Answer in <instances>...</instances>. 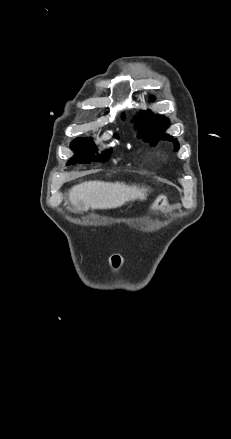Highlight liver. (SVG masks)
<instances>
[{
  "mask_svg": "<svg viewBox=\"0 0 231 439\" xmlns=\"http://www.w3.org/2000/svg\"><path fill=\"white\" fill-rule=\"evenodd\" d=\"M146 187L123 182L89 181L74 186L69 192L71 204L78 210L113 209L137 199L145 200Z\"/></svg>",
  "mask_w": 231,
  "mask_h": 439,
  "instance_id": "1",
  "label": "liver"
}]
</instances>
